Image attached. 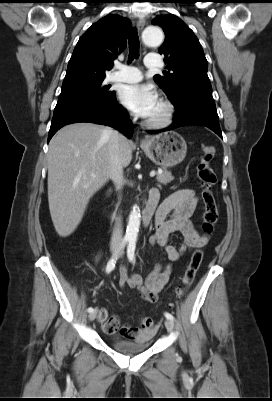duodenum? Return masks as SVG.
I'll return each mask as SVG.
<instances>
[{
	"label": "duodenum",
	"mask_w": 272,
	"mask_h": 401,
	"mask_svg": "<svg viewBox=\"0 0 272 401\" xmlns=\"http://www.w3.org/2000/svg\"><path fill=\"white\" fill-rule=\"evenodd\" d=\"M151 192V191H150ZM159 194L157 191H154L149 194L145 209L142 214V222L145 227L149 226L152 222L157 203H158ZM108 216L112 219L116 218V215L112 212H108Z\"/></svg>",
	"instance_id": "duodenum-1"
}]
</instances>
